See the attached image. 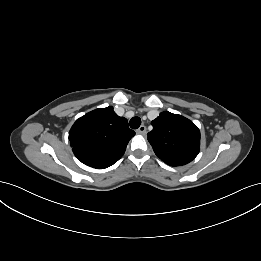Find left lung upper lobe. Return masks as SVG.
Returning a JSON list of instances; mask_svg holds the SVG:
<instances>
[{"mask_svg":"<svg viewBox=\"0 0 261 261\" xmlns=\"http://www.w3.org/2000/svg\"><path fill=\"white\" fill-rule=\"evenodd\" d=\"M148 141L155 154L170 166L191 162L200 151V131L189 119L170 112H161L152 121Z\"/></svg>","mask_w":261,"mask_h":261,"instance_id":"obj_1","label":"left lung upper lobe"}]
</instances>
